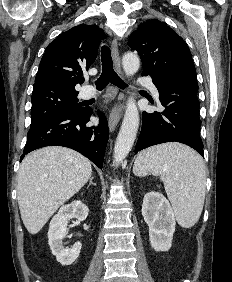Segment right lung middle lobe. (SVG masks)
Here are the masks:
<instances>
[{"label":"right lung middle lobe","mask_w":232,"mask_h":282,"mask_svg":"<svg viewBox=\"0 0 232 282\" xmlns=\"http://www.w3.org/2000/svg\"><path fill=\"white\" fill-rule=\"evenodd\" d=\"M78 92L50 89L32 93L31 127L61 113H78L85 108L78 103Z\"/></svg>","instance_id":"right-lung-middle-lobe-1"}]
</instances>
